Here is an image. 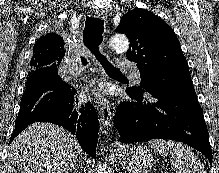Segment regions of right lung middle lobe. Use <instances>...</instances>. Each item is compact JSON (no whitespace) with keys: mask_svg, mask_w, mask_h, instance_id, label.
<instances>
[{"mask_svg":"<svg viewBox=\"0 0 219 173\" xmlns=\"http://www.w3.org/2000/svg\"><path fill=\"white\" fill-rule=\"evenodd\" d=\"M37 73H51L64 81L63 76L59 71V63H46V64H38L35 66L30 65V71L28 73V76Z\"/></svg>","mask_w":219,"mask_h":173,"instance_id":"right-lung-middle-lobe-1","label":"right lung middle lobe"}]
</instances>
